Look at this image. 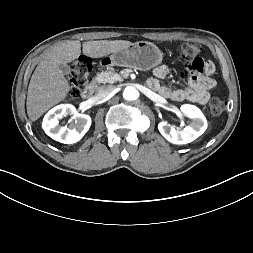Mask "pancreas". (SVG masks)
Wrapping results in <instances>:
<instances>
[{
    "mask_svg": "<svg viewBox=\"0 0 253 253\" xmlns=\"http://www.w3.org/2000/svg\"><path fill=\"white\" fill-rule=\"evenodd\" d=\"M123 79L120 77V75H118L113 69L107 70V71H103L99 74H97L96 78H95V82L96 83H109V84H113L117 81H122Z\"/></svg>",
    "mask_w": 253,
    "mask_h": 253,
    "instance_id": "1",
    "label": "pancreas"
}]
</instances>
